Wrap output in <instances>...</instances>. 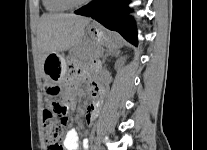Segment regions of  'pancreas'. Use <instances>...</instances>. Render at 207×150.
<instances>
[{
    "mask_svg": "<svg viewBox=\"0 0 207 150\" xmlns=\"http://www.w3.org/2000/svg\"><path fill=\"white\" fill-rule=\"evenodd\" d=\"M98 51L99 50L95 47L86 48V49H84V51L80 55V58L82 60L89 61L90 63H92L96 59Z\"/></svg>",
    "mask_w": 207,
    "mask_h": 150,
    "instance_id": "pancreas-1",
    "label": "pancreas"
}]
</instances>
